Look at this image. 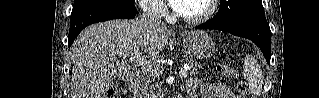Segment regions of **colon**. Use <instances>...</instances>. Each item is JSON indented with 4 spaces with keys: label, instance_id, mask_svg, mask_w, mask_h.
I'll list each match as a JSON object with an SVG mask.
<instances>
[{
    "label": "colon",
    "instance_id": "colon-1",
    "mask_svg": "<svg viewBox=\"0 0 319 98\" xmlns=\"http://www.w3.org/2000/svg\"><path fill=\"white\" fill-rule=\"evenodd\" d=\"M217 71L228 78H235V71L233 68L227 65H218ZM236 89L241 94L243 98H253L251 91L246 82L244 81H237L236 82ZM118 95V88L116 86H110L105 92V98H116Z\"/></svg>",
    "mask_w": 319,
    "mask_h": 98
}]
</instances>
